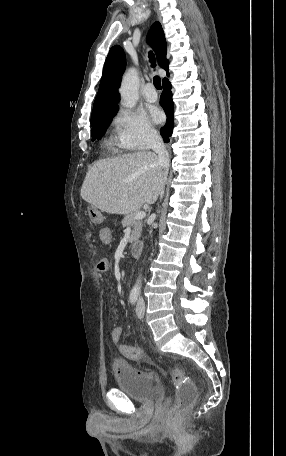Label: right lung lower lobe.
<instances>
[{"mask_svg":"<svg viewBox=\"0 0 286 456\" xmlns=\"http://www.w3.org/2000/svg\"><path fill=\"white\" fill-rule=\"evenodd\" d=\"M162 85H163V92H162V95L160 98V104L167 114L168 121H167L166 125L162 128L161 133L164 138V141L169 142L168 136H170L172 134L173 127H174V122H173L174 107H173V101H172L171 84L168 81V79L163 81Z\"/></svg>","mask_w":286,"mask_h":456,"instance_id":"98d812e1","label":"right lung lower lobe"}]
</instances>
